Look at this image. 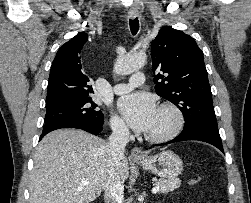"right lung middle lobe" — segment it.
<instances>
[{"label":"right lung middle lobe","instance_id":"dd1d6c3e","mask_svg":"<svg viewBox=\"0 0 251 203\" xmlns=\"http://www.w3.org/2000/svg\"><path fill=\"white\" fill-rule=\"evenodd\" d=\"M96 107L97 105L92 101L91 97L48 107L46 108V116L44 121L50 122L67 117H81L103 125V113L96 110Z\"/></svg>","mask_w":251,"mask_h":203}]
</instances>
